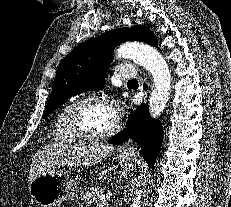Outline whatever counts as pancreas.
Segmentation results:
<instances>
[{"mask_svg":"<svg viewBox=\"0 0 231 207\" xmlns=\"http://www.w3.org/2000/svg\"><path fill=\"white\" fill-rule=\"evenodd\" d=\"M103 194H105V189L102 187L90 188L82 196V200L86 204L98 203Z\"/></svg>","mask_w":231,"mask_h":207,"instance_id":"cf45deb5","label":"pancreas"}]
</instances>
